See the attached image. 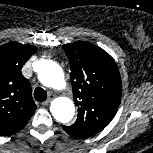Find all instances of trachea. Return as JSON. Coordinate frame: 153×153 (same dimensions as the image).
I'll list each match as a JSON object with an SVG mask.
<instances>
[{
	"label": "trachea",
	"instance_id": "3493384b",
	"mask_svg": "<svg viewBox=\"0 0 153 153\" xmlns=\"http://www.w3.org/2000/svg\"><path fill=\"white\" fill-rule=\"evenodd\" d=\"M34 98L38 102H44L47 99V92L43 88L37 87L34 90Z\"/></svg>",
	"mask_w": 153,
	"mask_h": 153
}]
</instances>
